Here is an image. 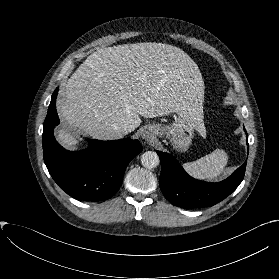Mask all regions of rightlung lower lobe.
Instances as JSON below:
<instances>
[{"label":"right lung lower lobe","mask_w":279,"mask_h":279,"mask_svg":"<svg viewBox=\"0 0 279 279\" xmlns=\"http://www.w3.org/2000/svg\"><path fill=\"white\" fill-rule=\"evenodd\" d=\"M58 88L43 125V156L54 181L71 197L82 201L110 199L120 188L129 162L142 151L138 140L130 138L90 140V147L72 152L55 140L53 129L59 123L56 111Z\"/></svg>","instance_id":"obj_1"}]
</instances>
